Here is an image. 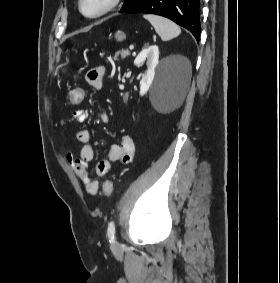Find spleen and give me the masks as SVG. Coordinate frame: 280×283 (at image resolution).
Wrapping results in <instances>:
<instances>
[{
    "label": "spleen",
    "mask_w": 280,
    "mask_h": 283,
    "mask_svg": "<svg viewBox=\"0 0 280 283\" xmlns=\"http://www.w3.org/2000/svg\"><path fill=\"white\" fill-rule=\"evenodd\" d=\"M143 17L151 23L163 41L171 40L181 33L180 27L165 17L153 14H145Z\"/></svg>",
    "instance_id": "1"
}]
</instances>
